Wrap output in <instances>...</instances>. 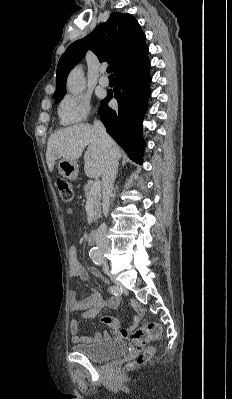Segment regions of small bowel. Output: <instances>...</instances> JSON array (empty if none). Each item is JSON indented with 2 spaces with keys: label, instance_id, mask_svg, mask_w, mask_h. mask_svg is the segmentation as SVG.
I'll return each mask as SVG.
<instances>
[{
  "label": "small bowel",
  "instance_id": "c3829d8e",
  "mask_svg": "<svg viewBox=\"0 0 232 399\" xmlns=\"http://www.w3.org/2000/svg\"><path fill=\"white\" fill-rule=\"evenodd\" d=\"M81 258L82 255L77 248L71 247L69 250V275L74 281V284L69 289V313L74 316L71 317L69 323V339L74 344L86 345L90 344L91 340L80 334L81 321L97 316L99 308L102 305L106 304L111 308H115L118 304V299L113 298L105 300L97 290L92 289L88 296L78 300L76 291L77 281H88L90 278L80 264ZM91 275L96 277L102 276L101 272L97 268H93L91 270ZM103 282L107 284L108 279L103 278ZM129 301L133 305V308L136 312L133 324L128 326H120L115 316H106L103 318V321L113 330L114 337H120L125 333L134 331L144 317V309L136 303V300L134 298H130ZM99 340L100 333L95 332L93 338L94 343H98Z\"/></svg>",
  "mask_w": 232,
  "mask_h": 399
}]
</instances>
